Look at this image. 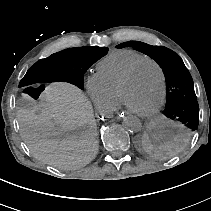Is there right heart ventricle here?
I'll return each mask as SVG.
<instances>
[{
  "label": "right heart ventricle",
  "instance_id": "1",
  "mask_svg": "<svg viewBox=\"0 0 211 211\" xmlns=\"http://www.w3.org/2000/svg\"><path fill=\"white\" fill-rule=\"evenodd\" d=\"M147 58L143 54L128 52L100 61L96 66V76L112 96L113 105L117 101L116 88L122 77L136 64Z\"/></svg>",
  "mask_w": 211,
  "mask_h": 211
}]
</instances>
